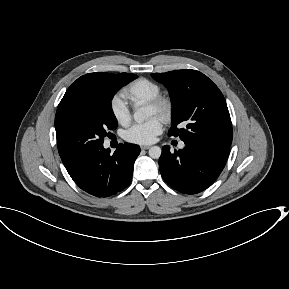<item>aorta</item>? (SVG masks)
Instances as JSON below:
<instances>
[{
	"mask_svg": "<svg viewBox=\"0 0 289 289\" xmlns=\"http://www.w3.org/2000/svg\"><path fill=\"white\" fill-rule=\"evenodd\" d=\"M133 118L137 123H142L149 118V112L146 108L141 107L134 112ZM148 153L151 158L158 159L160 158L162 151L160 147L152 146Z\"/></svg>",
	"mask_w": 289,
	"mask_h": 289,
	"instance_id": "aorta-1",
	"label": "aorta"
}]
</instances>
